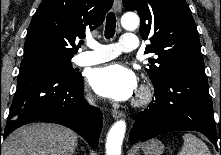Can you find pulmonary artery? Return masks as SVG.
<instances>
[{
  "mask_svg": "<svg viewBox=\"0 0 221 155\" xmlns=\"http://www.w3.org/2000/svg\"><path fill=\"white\" fill-rule=\"evenodd\" d=\"M139 42L136 35L126 33L122 35L118 44H100L94 40L87 42L90 51H84L75 57V63L80 66L94 65L109 61L121 52H131L138 48Z\"/></svg>",
  "mask_w": 221,
  "mask_h": 155,
  "instance_id": "e3ab8cb5",
  "label": "pulmonary artery"
}]
</instances>
